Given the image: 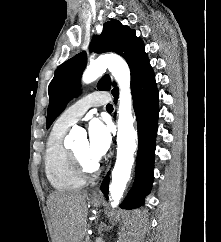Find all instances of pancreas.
I'll return each mask as SVG.
<instances>
[{"label":"pancreas","instance_id":"pancreas-1","mask_svg":"<svg viewBox=\"0 0 221 242\" xmlns=\"http://www.w3.org/2000/svg\"><path fill=\"white\" fill-rule=\"evenodd\" d=\"M84 242H90L89 238H86V240Z\"/></svg>","mask_w":221,"mask_h":242}]
</instances>
